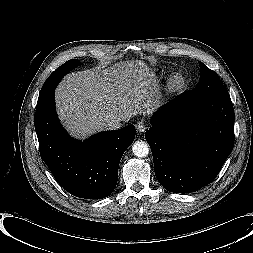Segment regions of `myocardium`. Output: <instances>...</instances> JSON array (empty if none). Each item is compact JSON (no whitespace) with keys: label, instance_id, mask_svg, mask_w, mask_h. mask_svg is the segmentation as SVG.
Returning a JSON list of instances; mask_svg holds the SVG:
<instances>
[{"label":"myocardium","instance_id":"1","mask_svg":"<svg viewBox=\"0 0 253 253\" xmlns=\"http://www.w3.org/2000/svg\"><path fill=\"white\" fill-rule=\"evenodd\" d=\"M182 82H183L182 76L179 73H175L169 78L167 87L169 89H175L180 87Z\"/></svg>","mask_w":253,"mask_h":253}]
</instances>
